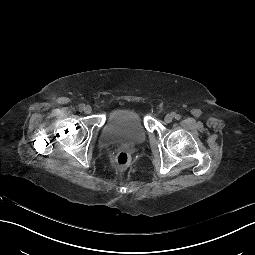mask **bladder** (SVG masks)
<instances>
[{
    "instance_id": "bladder-1",
    "label": "bladder",
    "mask_w": 255,
    "mask_h": 255,
    "mask_svg": "<svg viewBox=\"0 0 255 255\" xmlns=\"http://www.w3.org/2000/svg\"><path fill=\"white\" fill-rule=\"evenodd\" d=\"M146 138L140 115L133 109L114 114L108 118L100 139L106 143L128 141L138 144Z\"/></svg>"
}]
</instances>
